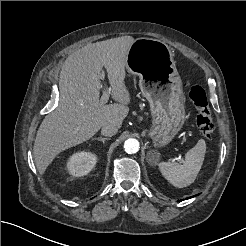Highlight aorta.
Masks as SVG:
<instances>
[{
	"mask_svg": "<svg viewBox=\"0 0 246 246\" xmlns=\"http://www.w3.org/2000/svg\"><path fill=\"white\" fill-rule=\"evenodd\" d=\"M139 148L140 144L137 139L129 138L124 143L125 152H127L128 154L137 153L139 151Z\"/></svg>",
	"mask_w": 246,
	"mask_h": 246,
	"instance_id": "762f6f07",
	"label": "aorta"
}]
</instances>
